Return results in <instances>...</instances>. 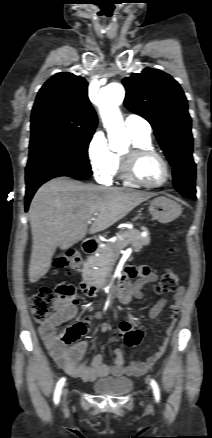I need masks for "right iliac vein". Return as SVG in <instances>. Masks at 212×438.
Returning <instances> with one entry per match:
<instances>
[{
  "label": "right iliac vein",
  "instance_id": "obj_1",
  "mask_svg": "<svg viewBox=\"0 0 212 438\" xmlns=\"http://www.w3.org/2000/svg\"><path fill=\"white\" fill-rule=\"evenodd\" d=\"M67 395H68V390L65 388V389L63 390V392H62V400H63V403L66 402Z\"/></svg>",
  "mask_w": 212,
  "mask_h": 438
}]
</instances>
